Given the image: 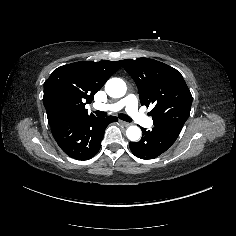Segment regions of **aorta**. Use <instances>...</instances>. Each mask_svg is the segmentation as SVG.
<instances>
[{"mask_svg":"<svg viewBox=\"0 0 236 236\" xmlns=\"http://www.w3.org/2000/svg\"><path fill=\"white\" fill-rule=\"evenodd\" d=\"M105 91L110 97L120 98L126 93V84L119 78H111L105 84ZM141 134V129L137 126H130L126 131V136L130 141H138Z\"/></svg>","mask_w":236,"mask_h":236,"instance_id":"aorta-1","label":"aorta"}]
</instances>
